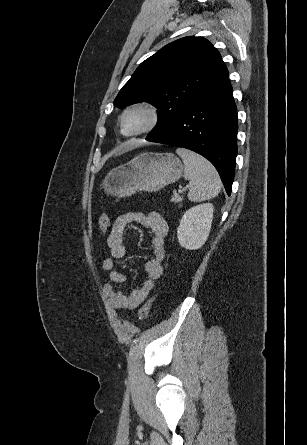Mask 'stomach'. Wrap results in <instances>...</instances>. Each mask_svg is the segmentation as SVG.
I'll return each instance as SVG.
<instances>
[{"label":"stomach","mask_w":307,"mask_h":445,"mask_svg":"<svg viewBox=\"0 0 307 445\" xmlns=\"http://www.w3.org/2000/svg\"><path fill=\"white\" fill-rule=\"evenodd\" d=\"M184 166L172 152H139L106 174L102 188L113 196H131L139 190L156 192L182 176Z\"/></svg>","instance_id":"stomach-1"}]
</instances>
